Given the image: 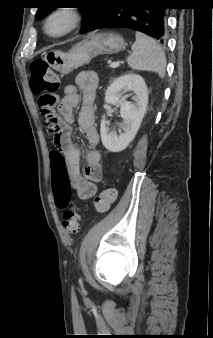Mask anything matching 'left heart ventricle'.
<instances>
[{
  "label": "left heart ventricle",
  "instance_id": "b2bd125f",
  "mask_svg": "<svg viewBox=\"0 0 213 338\" xmlns=\"http://www.w3.org/2000/svg\"><path fill=\"white\" fill-rule=\"evenodd\" d=\"M65 26V19L62 16H58L53 21V29L60 30Z\"/></svg>",
  "mask_w": 213,
  "mask_h": 338
}]
</instances>
